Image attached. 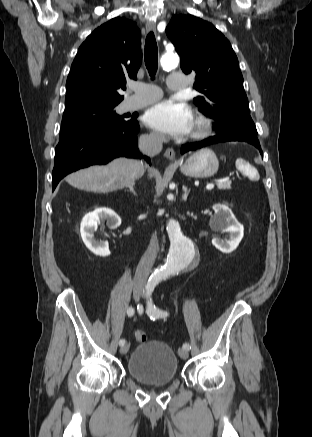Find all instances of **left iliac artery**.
I'll list each match as a JSON object with an SVG mask.
<instances>
[{"label": "left iliac artery", "instance_id": "1", "mask_svg": "<svg viewBox=\"0 0 312 437\" xmlns=\"http://www.w3.org/2000/svg\"><path fill=\"white\" fill-rule=\"evenodd\" d=\"M159 279L157 278H149L148 283L146 285V295L150 296L151 293L153 292L155 286L158 284ZM147 314L150 316L151 319H156V318H162V317H167L168 316V312L167 311H163L159 308H157L155 305H153L151 298L150 301H148L147 303ZM183 348L184 349H189L190 345L189 343H184L183 344Z\"/></svg>", "mask_w": 312, "mask_h": 437}]
</instances>
